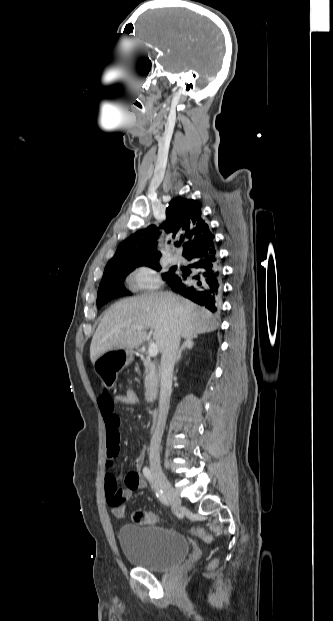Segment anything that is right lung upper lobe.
<instances>
[{
	"mask_svg": "<svg viewBox=\"0 0 333 621\" xmlns=\"http://www.w3.org/2000/svg\"><path fill=\"white\" fill-rule=\"evenodd\" d=\"M166 216L161 228L173 238L180 237V242H175L176 246H179L184 238L187 239L183 243L184 255L204 250L214 244V236L201 216L199 201L174 198L166 208ZM159 235V228L155 225L137 231L118 246L115 255L106 266L160 258L161 253L157 250Z\"/></svg>",
	"mask_w": 333,
	"mask_h": 621,
	"instance_id": "cb5924a9",
	"label": "right lung upper lobe"
}]
</instances>
